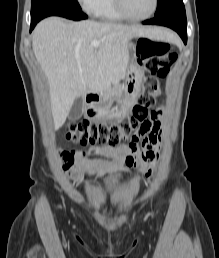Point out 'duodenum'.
<instances>
[{
	"label": "duodenum",
	"mask_w": 219,
	"mask_h": 258,
	"mask_svg": "<svg viewBox=\"0 0 219 258\" xmlns=\"http://www.w3.org/2000/svg\"><path fill=\"white\" fill-rule=\"evenodd\" d=\"M87 99L91 102V103H96L99 100V94L98 92L94 91V90H88L87 91Z\"/></svg>",
	"instance_id": "410a0bca"
}]
</instances>
